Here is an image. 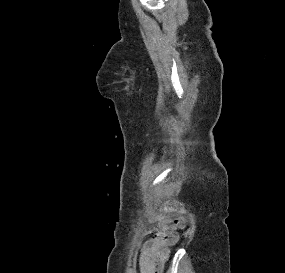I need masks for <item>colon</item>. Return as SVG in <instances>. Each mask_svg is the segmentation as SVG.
I'll use <instances>...</instances> for the list:
<instances>
[{"instance_id": "obj_1", "label": "colon", "mask_w": 285, "mask_h": 273, "mask_svg": "<svg viewBox=\"0 0 285 273\" xmlns=\"http://www.w3.org/2000/svg\"><path fill=\"white\" fill-rule=\"evenodd\" d=\"M186 224V221L183 217H176L173 221L174 228H183Z\"/></svg>"}]
</instances>
